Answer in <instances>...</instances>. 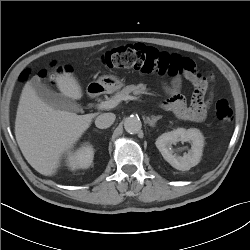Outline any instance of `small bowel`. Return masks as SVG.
Listing matches in <instances>:
<instances>
[{
	"label": "small bowel",
	"mask_w": 250,
	"mask_h": 250,
	"mask_svg": "<svg viewBox=\"0 0 250 250\" xmlns=\"http://www.w3.org/2000/svg\"><path fill=\"white\" fill-rule=\"evenodd\" d=\"M186 79L195 85L198 76L194 73L187 74ZM182 79L175 77L164 86V91L168 98L162 103L165 110L173 112L178 118L191 122H203L207 116L208 103L204 100L193 102L187 105L185 99L180 94Z\"/></svg>",
	"instance_id": "1"
}]
</instances>
